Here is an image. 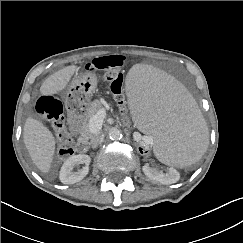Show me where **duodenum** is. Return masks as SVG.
Wrapping results in <instances>:
<instances>
[{
	"label": "duodenum",
	"mask_w": 243,
	"mask_h": 243,
	"mask_svg": "<svg viewBox=\"0 0 243 243\" xmlns=\"http://www.w3.org/2000/svg\"><path fill=\"white\" fill-rule=\"evenodd\" d=\"M88 145V140L86 138H81L77 142V148L80 152H83Z\"/></svg>",
	"instance_id": "obj_1"
}]
</instances>
